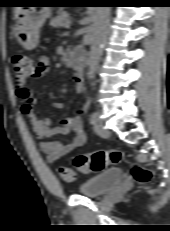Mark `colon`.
I'll return each mask as SVG.
<instances>
[{"label":"colon","instance_id":"1","mask_svg":"<svg viewBox=\"0 0 170 231\" xmlns=\"http://www.w3.org/2000/svg\"><path fill=\"white\" fill-rule=\"evenodd\" d=\"M11 64L17 85L26 84L30 78L36 75V63L22 52L12 56ZM122 160L123 153L120 150L110 149L77 155L74 158V166L81 173H89L101 171L109 165L120 163ZM58 173L66 182H73L76 179V173L69 167H59ZM131 174L140 183L147 182L152 176L148 169L139 164L132 165Z\"/></svg>","mask_w":170,"mask_h":231}]
</instances>
